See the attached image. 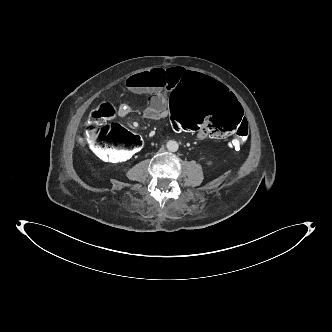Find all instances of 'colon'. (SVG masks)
Listing matches in <instances>:
<instances>
[{
	"label": "colon",
	"mask_w": 332,
	"mask_h": 332,
	"mask_svg": "<svg viewBox=\"0 0 332 332\" xmlns=\"http://www.w3.org/2000/svg\"><path fill=\"white\" fill-rule=\"evenodd\" d=\"M115 112L111 103H101L90 115L84 139L100 159L125 162L144 147V140L119 126L101 129L99 124L114 117ZM166 115L172 127L187 134L223 139L234 133L231 148L241 147L249 136L247 122H241L243 107L239 98L201 73L180 79L169 95Z\"/></svg>",
	"instance_id": "1"
}]
</instances>
